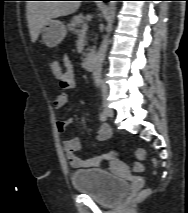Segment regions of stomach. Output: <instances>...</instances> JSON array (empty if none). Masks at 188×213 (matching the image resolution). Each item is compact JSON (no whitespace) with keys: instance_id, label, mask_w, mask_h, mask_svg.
Returning <instances> with one entry per match:
<instances>
[{"instance_id":"obj_1","label":"stomach","mask_w":188,"mask_h":213,"mask_svg":"<svg viewBox=\"0 0 188 213\" xmlns=\"http://www.w3.org/2000/svg\"><path fill=\"white\" fill-rule=\"evenodd\" d=\"M42 42L50 47L60 44L67 34L66 26L59 20H51L40 30Z\"/></svg>"}]
</instances>
